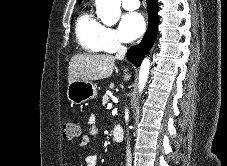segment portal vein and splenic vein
I'll return each instance as SVG.
<instances>
[{
	"mask_svg": "<svg viewBox=\"0 0 227 166\" xmlns=\"http://www.w3.org/2000/svg\"><path fill=\"white\" fill-rule=\"evenodd\" d=\"M111 108H112V104L109 103V104L107 105V109H111Z\"/></svg>",
	"mask_w": 227,
	"mask_h": 166,
	"instance_id": "obj_1",
	"label": "portal vein and splenic vein"
}]
</instances>
